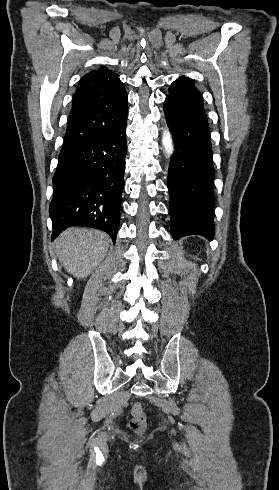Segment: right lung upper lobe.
<instances>
[{
  "instance_id": "right-lung-upper-lobe-1",
  "label": "right lung upper lobe",
  "mask_w": 279,
  "mask_h": 490,
  "mask_svg": "<svg viewBox=\"0 0 279 490\" xmlns=\"http://www.w3.org/2000/svg\"><path fill=\"white\" fill-rule=\"evenodd\" d=\"M127 118V93L119 76L103 67L79 81L62 149L99 138Z\"/></svg>"
}]
</instances>
